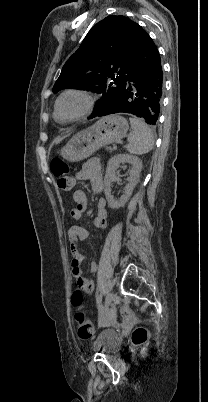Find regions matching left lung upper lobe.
<instances>
[{
	"mask_svg": "<svg viewBox=\"0 0 208 402\" xmlns=\"http://www.w3.org/2000/svg\"><path fill=\"white\" fill-rule=\"evenodd\" d=\"M135 22L110 15L94 25L79 49L64 64L53 92L67 87L102 93L92 119L114 98L129 71V41Z\"/></svg>",
	"mask_w": 208,
	"mask_h": 402,
	"instance_id": "5c2ea615",
	"label": "left lung upper lobe"
}]
</instances>
